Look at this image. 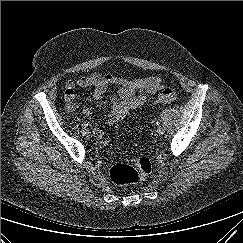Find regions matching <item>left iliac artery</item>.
<instances>
[{
  "label": "left iliac artery",
  "instance_id": "44dca946",
  "mask_svg": "<svg viewBox=\"0 0 243 243\" xmlns=\"http://www.w3.org/2000/svg\"><path fill=\"white\" fill-rule=\"evenodd\" d=\"M156 124H157V125H160V122H159V121H157V122H156Z\"/></svg>",
  "mask_w": 243,
  "mask_h": 243
}]
</instances>
